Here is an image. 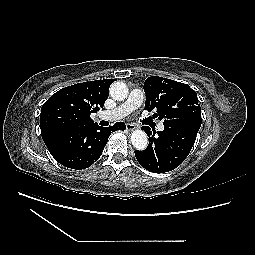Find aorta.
Wrapping results in <instances>:
<instances>
[{
  "mask_svg": "<svg viewBox=\"0 0 255 255\" xmlns=\"http://www.w3.org/2000/svg\"><path fill=\"white\" fill-rule=\"evenodd\" d=\"M127 94L128 88L123 82H114L110 87V95L114 100L122 101ZM131 142L137 150H144L148 146V137L143 130H134L131 133Z\"/></svg>",
  "mask_w": 255,
  "mask_h": 255,
  "instance_id": "obj_1",
  "label": "aorta"
}]
</instances>
